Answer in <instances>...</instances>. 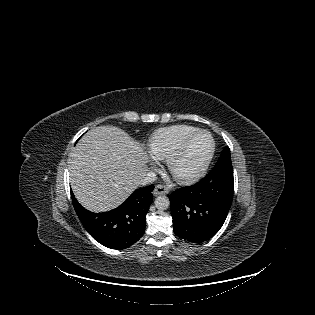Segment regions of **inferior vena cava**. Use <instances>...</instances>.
I'll list each match as a JSON object with an SVG mask.
<instances>
[{
    "label": "inferior vena cava",
    "mask_w": 315,
    "mask_h": 315,
    "mask_svg": "<svg viewBox=\"0 0 315 315\" xmlns=\"http://www.w3.org/2000/svg\"><path fill=\"white\" fill-rule=\"evenodd\" d=\"M156 180V174L153 172H147L141 181V185L153 183Z\"/></svg>",
    "instance_id": "obj_1"
}]
</instances>
